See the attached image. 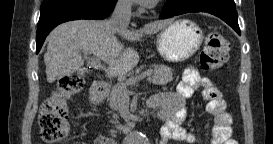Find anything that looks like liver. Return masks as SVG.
<instances>
[{
  "label": "liver",
  "mask_w": 273,
  "mask_h": 144,
  "mask_svg": "<svg viewBox=\"0 0 273 144\" xmlns=\"http://www.w3.org/2000/svg\"><path fill=\"white\" fill-rule=\"evenodd\" d=\"M172 22V19L155 21L140 32L127 28L114 30L108 20H75L58 25L47 37L44 54L47 81L52 83L79 70L84 64V51L103 60L109 66L110 77L122 76L137 65L139 54L133 48H124L115 35L135 41L144 33H157Z\"/></svg>",
  "instance_id": "obj_1"
}]
</instances>
